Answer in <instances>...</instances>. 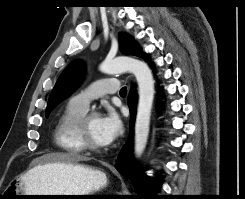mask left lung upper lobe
Returning a JSON list of instances; mask_svg holds the SVG:
<instances>
[{
  "label": "left lung upper lobe",
  "instance_id": "1",
  "mask_svg": "<svg viewBox=\"0 0 245 199\" xmlns=\"http://www.w3.org/2000/svg\"><path fill=\"white\" fill-rule=\"evenodd\" d=\"M120 50L124 55L144 57L136 41L125 33H119ZM84 76V67L80 61H74L62 72L48 100L46 117L53 108L67 98L80 84Z\"/></svg>",
  "mask_w": 245,
  "mask_h": 199
}]
</instances>
